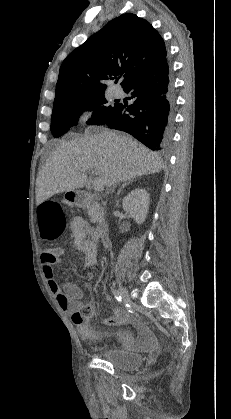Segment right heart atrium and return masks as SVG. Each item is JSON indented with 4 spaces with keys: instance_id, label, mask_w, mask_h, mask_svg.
Segmentation results:
<instances>
[{
    "instance_id": "obj_1",
    "label": "right heart atrium",
    "mask_w": 231,
    "mask_h": 419,
    "mask_svg": "<svg viewBox=\"0 0 231 419\" xmlns=\"http://www.w3.org/2000/svg\"><path fill=\"white\" fill-rule=\"evenodd\" d=\"M92 116V111L90 109H83L79 113V119L81 122L88 121Z\"/></svg>"
}]
</instances>
